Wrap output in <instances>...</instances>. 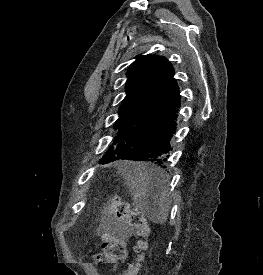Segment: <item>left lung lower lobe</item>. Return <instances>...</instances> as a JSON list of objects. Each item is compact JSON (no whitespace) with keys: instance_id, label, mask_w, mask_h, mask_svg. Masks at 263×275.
<instances>
[{"instance_id":"obj_1","label":"left lung lower lobe","mask_w":263,"mask_h":275,"mask_svg":"<svg viewBox=\"0 0 263 275\" xmlns=\"http://www.w3.org/2000/svg\"><path fill=\"white\" fill-rule=\"evenodd\" d=\"M173 76L174 69L170 66L120 126L113 145L100 159L102 164L124 159L146 161L149 166L156 167L167 161L181 104L179 86Z\"/></svg>"}]
</instances>
